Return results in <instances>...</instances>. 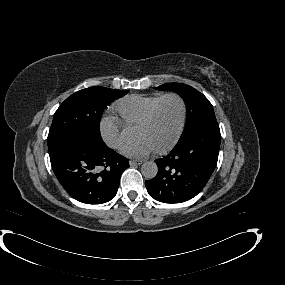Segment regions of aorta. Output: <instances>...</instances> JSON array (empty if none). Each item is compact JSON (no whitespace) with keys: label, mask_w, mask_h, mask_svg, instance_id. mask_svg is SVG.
Wrapping results in <instances>:
<instances>
[{"label":"aorta","mask_w":285,"mask_h":285,"mask_svg":"<svg viewBox=\"0 0 285 285\" xmlns=\"http://www.w3.org/2000/svg\"><path fill=\"white\" fill-rule=\"evenodd\" d=\"M141 172L145 178L153 179L158 172L157 164L153 161H147L142 165Z\"/></svg>","instance_id":"762f6f07"}]
</instances>
